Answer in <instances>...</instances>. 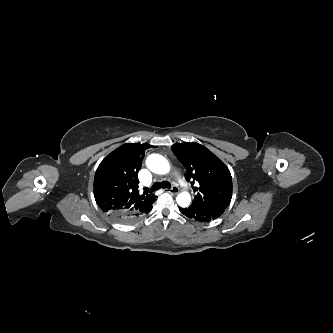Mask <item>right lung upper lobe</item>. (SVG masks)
Here are the masks:
<instances>
[{"label": "right lung upper lobe", "instance_id": "cb5924a9", "mask_svg": "<svg viewBox=\"0 0 333 333\" xmlns=\"http://www.w3.org/2000/svg\"><path fill=\"white\" fill-rule=\"evenodd\" d=\"M151 145L128 143L106 156L94 177V197L108 215L133 213L155 201L152 194L138 191V172L145 150Z\"/></svg>", "mask_w": 333, "mask_h": 333}]
</instances>
